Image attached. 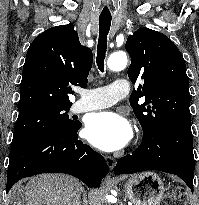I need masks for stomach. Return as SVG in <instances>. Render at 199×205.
<instances>
[{"label":"stomach","instance_id":"stomach-1","mask_svg":"<svg viewBox=\"0 0 199 205\" xmlns=\"http://www.w3.org/2000/svg\"><path fill=\"white\" fill-rule=\"evenodd\" d=\"M164 191L162 179L154 172L131 175L125 183V194L134 205H158Z\"/></svg>","mask_w":199,"mask_h":205}]
</instances>
